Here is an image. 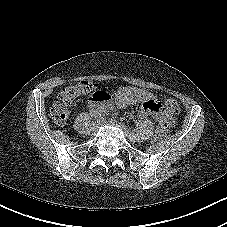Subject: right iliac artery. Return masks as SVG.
Returning a JSON list of instances; mask_svg holds the SVG:
<instances>
[{
	"instance_id": "obj_1",
	"label": "right iliac artery",
	"mask_w": 227,
	"mask_h": 227,
	"mask_svg": "<svg viewBox=\"0 0 227 227\" xmlns=\"http://www.w3.org/2000/svg\"><path fill=\"white\" fill-rule=\"evenodd\" d=\"M101 115H102L101 112H98V113H95V114H94V117H95V118H98V117H100Z\"/></svg>"
}]
</instances>
